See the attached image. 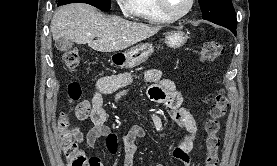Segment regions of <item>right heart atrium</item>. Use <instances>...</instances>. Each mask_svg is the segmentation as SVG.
<instances>
[{
  "instance_id": "d8ad5b80",
  "label": "right heart atrium",
  "mask_w": 277,
  "mask_h": 166,
  "mask_svg": "<svg viewBox=\"0 0 277 166\" xmlns=\"http://www.w3.org/2000/svg\"><path fill=\"white\" fill-rule=\"evenodd\" d=\"M121 10L129 13L132 10L133 0H116Z\"/></svg>"
}]
</instances>
